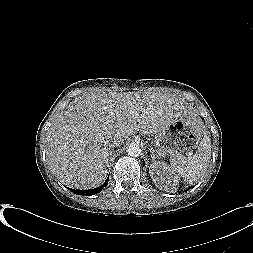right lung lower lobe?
Instances as JSON below:
<instances>
[{
  "mask_svg": "<svg viewBox=\"0 0 253 253\" xmlns=\"http://www.w3.org/2000/svg\"><path fill=\"white\" fill-rule=\"evenodd\" d=\"M108 178L105 181V183L98 188H94V189H90V190H74V189H70V190H72L74 193L79 194V195H86V196L94 195V194L99 193L105 186L108 185Z\"/></svg>",
  "mask_w": 253,
  "mask_h": 253,
  "instance_id": "obj_1",
  "label": "right lung lower lobe"
}]
</instances>
